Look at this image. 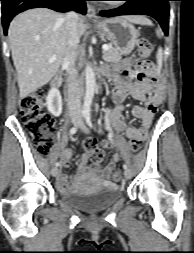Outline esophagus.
Here are the masks:
<instances>
[{
	"label": "esophagus",
	"instance_id": "1",
	"mask_svg": "<svg viewBox=\"0 0 194 253\" xmlns=\"http://www.w3.org/2000/svg\"><path fill=\"white\" fill-rule=\"evenodd\" d=\"M87 17L92 20H97L98 16L96 15L95 9L92 5L87 4Z\"/></svg>",
	"mask_w": 194,
	"mask_h": 253
}]
</instances>
